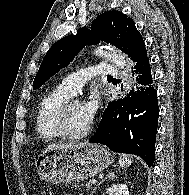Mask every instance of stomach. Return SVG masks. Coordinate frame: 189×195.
I'll return each mask as SVG.
<instances>
[{
  "mask_svg": "<svg viewBox=\"0 0 189 195\" xmlns=\"http://www.w3.org/2000/svg\"><path fill=\"white\" fill-rule=\"evenodd\" d=\"M114 158L98 144L44 152L36 162L40 178L50 183H69L92 177L107 168Z\"/></svg>",
  "mask_w": 189,
  "mask_h": 195,
  "instance_id": "stomach-1",
  "label": "stomach"
}]
</instances>
